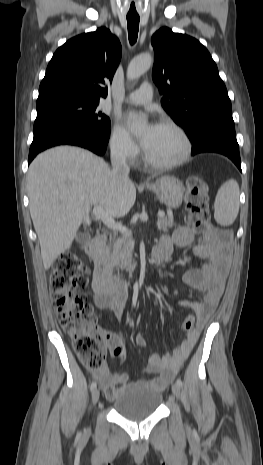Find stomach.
Here are the masks:
<instances>
[{"label": "stomach", "mask_w": 263, "mask_h": 465, "mask_svg": "<svg viewBox=\"0 0 263 465\" xmlns=\"http://www.w3.org/2000/svg\"><path fill=\"white\" fill-rule=\"evenodd\" d=\"M147 188L154 192L160 201L169 208H178L182 204L184 187L176 177L162 176Z\"/></svg>", "instance_id": "1"}]
</instances>
